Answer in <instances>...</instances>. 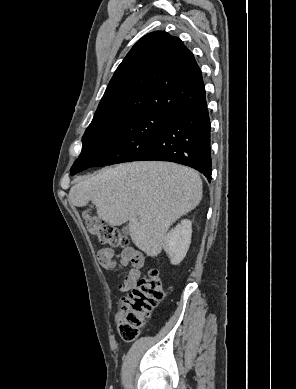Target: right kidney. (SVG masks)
<instances>
[{
    "mask_svg": "<svg viewBox=\"0 0 296 389\" xmlns=\"http://www.w3.org/2000/svg\"><path fill=\"white\" fill-rule=\"evenodd\" d=\"M192 223L184 219L171 229L164 238L163 248L172 265L179 264L186 256L191 244Z\"/></svg>",
    "mask_w": 296,
    "mask_h": 389,
    "instance_id": "right-kidney-1",
    "label": "right kidney"
}]
</instances>
